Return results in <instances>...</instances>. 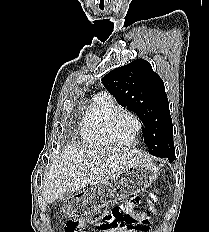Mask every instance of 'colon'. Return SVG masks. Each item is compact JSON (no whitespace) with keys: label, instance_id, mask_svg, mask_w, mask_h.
<instances>
[{"label":"colon","instance_id":"colon-1","mask_svg":"<svg viewBox=\"0 0 209 232\" xmlns=\"http://www.w3.org/2000/svg\"><path fill=\"white\" fill-rule=\"evenodd\" d=\"M139 201V198H138ZM158 197L156 193H151L149 197V203L152 208L156 207ZM90 221L96 222L100 227L114 228L123 227L133 229L142 226H150V221L140 222L136 217V212L129 213L124 206H116L108 212L97 211L95 214H88L87 217ZM82 221H76V219L70 220L66 223L65 232H79L82 230Z\"/></svg>","mask_w":209,"mask_h":232}]
</instances>
